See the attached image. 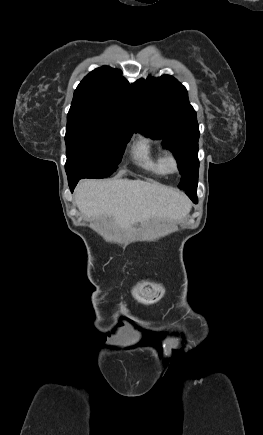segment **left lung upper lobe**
I'll list each match as a JSON object with an SVG mask.
<instances>
[{"mask_svg":"<svg viewBox=\"0 0 263 435\" xmlns=\"http://www.w3.org/2000/svg\"><path fill=\"white\" fill-rule=\"evenodd\" d=\"M132 92L138 114L136 131L162 139L174 153L182 176L178 188H197L199 128L186 88L172 76L163 75L137 80Z\"/></svg>","mask_w":263,"mask_h":435,"instance_id":"left-lung-upper-lobe-1","label":"left lung upper lobe"}]
</instances>
